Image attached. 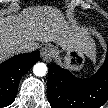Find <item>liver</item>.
Wrapping results in <instances>:
<instances>
[{
  "instance_id": "obj_1",
  "label": "liver",
  "mask_w": 108,
  "mask_h": 108,
  "mask_svg": "<svg viewBox=\"0 0 108 108\" xmlns=\"http://www.w3.org/2000/svg\"><path fill=\"white\" fill-rule=\"evenodd\" d=\"M70 28L60 10L50 6L25 8L19 15L0 17V59L21 52L20 46L37 49L39 42H54L63 49H79L90 56L94 43L86 31ZM33 50V51H34Z\"/></svg>"
}]
</instances>
